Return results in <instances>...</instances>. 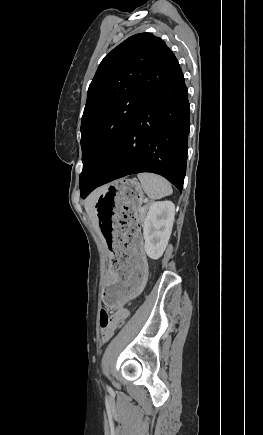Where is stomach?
I'll use <instances>...</instances> for the list:
<instances>
[{"instance_id": "stomach-1", "label": "stomach", "mask_w": 263, "mask_h": 435, "mask_svg": "<svg viewBox=\"0 0 263 435\" xmlns=\"http://www.w3.org/2000/svg\"><path fill=\"white\" fill-rule=\"evenodd\" d=\"M143 191L135 178H121L102 188L95 200L98 233H103L109 251L110 274L104 303L108 310L132 305L149 283L148 261L143 260L144 233L138 209Z\"/></svg>"}]
</instances>
